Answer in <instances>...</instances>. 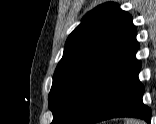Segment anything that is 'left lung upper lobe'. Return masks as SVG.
I'll return each instance as SVG.
<instances>
[{
	"label": "left lung upper lobe",
	"mask_w": 156,
	"mask_h": 124,
	"mask_svg": "<svg viewBox=\"0 0 156 124\" xmlns=\"http://www.w3.org/2000/svg\"><path fill=\"white\" fill-rule=\"evenodd\" d=\"M137 46L132 17L118 4L88 12L69 35L53 76L51 124H78L107 78Z\"/></svg>",
	"instance_id": "1"
}]
</instances>
